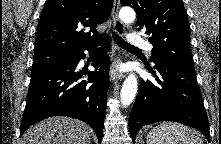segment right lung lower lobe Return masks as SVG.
<instances>
[{
  "instance_id": "right-lung-lower-lobe-1",
  "label": "right lung lower lobe",
  "mask_w": 221,
  "mask_h": 144,
  "mask_svg": "<svg viewBox=\"0 0 221 144\" xmlns=\"http://www.w3.org/2000/svg\"><path fill=\"white\" fill-rule=\"evenodd\" d=\"M96 50L92 66L95 71H79L77 65L85 58L84 50ZM110 47L108 37L73 53L67 60L31 75L27 102L21 122L20 136L32 124L47 117L63 115L88 123L103 136L106 109V92L109 85L110 60L106 52ZM88 75V80H80Z\"/></svg>"
}]
</instances>
